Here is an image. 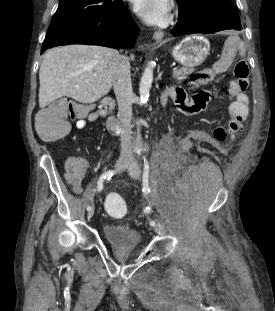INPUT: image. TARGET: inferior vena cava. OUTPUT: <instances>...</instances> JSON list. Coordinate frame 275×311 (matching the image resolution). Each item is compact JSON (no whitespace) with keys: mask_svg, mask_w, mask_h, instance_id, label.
<instances>
[{"mask_svg":"<svg viewBox=\"0 0 275 311\" xmlns=\"http://www.w3.org/2000/svg\"><path fill=\"white\" fill-rule=\"evenodd\" d=\"M113 69V88L118 102V116L121 120V157L125 160H133L130 147L132 134V103L134 94L131 83L129 59L118 53L114 54L111 60Z\"/></svg>","mask_w":275,"mask_h":311,"instance_id":"inferior-vena-cava-1","label":"inferior vena cava"}]
</instances>
